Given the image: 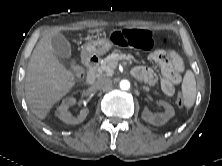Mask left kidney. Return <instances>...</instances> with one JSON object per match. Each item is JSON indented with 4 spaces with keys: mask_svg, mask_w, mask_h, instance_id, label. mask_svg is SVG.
<instances>
[{
    "mask_svg": "<svg viewBox=\"0 0 222 166\" xmlns=\"http://www.w3.org/2000/svg\"><path fill=\"white\" fill-rule=\"evenodd\" d=\"M159 104L164 107L165 112L157 115H153L148 109H144L142 118L155 126H161L165 124L169 119L175 115L174 108L165 101H159Z\"/></svg>",
    "mask_w": 222,
    "mask_h": 166,
    "instance_id": "left-kidney-1",
    "label": "left kidney"
}]
</instances>
